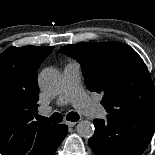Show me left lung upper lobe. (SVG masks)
Wrapping results in <instances>:
<instances>
[{
  "label": "left lung upper lobe",
  "mask_w": 155,
  "mask_h": 155,
  "mask_svg": "<svg viewBox=\"0 0 155 155\" xmlns=\"http://www.w3.org/2000/svg\"><path fill=\"white\" fill-rule=\"evenodd\" d=\"M60 52L76 59L90 91L110 115H155V87L142 58L119 42L77 43Z\"/></svg>",
  "instance_id": "left-lung-upper-lobe-1"
}]
</instances>
